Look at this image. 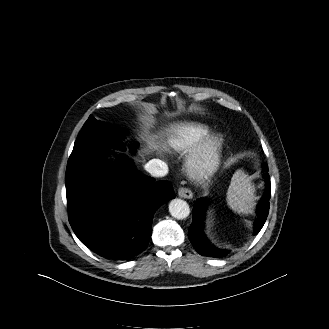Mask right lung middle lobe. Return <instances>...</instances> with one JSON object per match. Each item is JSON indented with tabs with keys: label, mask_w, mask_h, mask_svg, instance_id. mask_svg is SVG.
Returning <instances> with one entry per match:
<instances>
[{
	"label": "right lung middle lobe",
	"mask_w": 329,
	"mask_h": 329,
	"mask_svg": "<svg viewBox=\"0 0 329 329\" xmlns=\"http://www.w3.org/2000/svg\"><path fill=\"white\" fill-rule=\"evenodd\" d=\"M122 132L119 127L98 121L91 115L75 141L67 166L97 150L123 148ZM131 148H134V146H131Z\"/></svg>",
	"instance_id": "obj_1"
}]
</instances>
